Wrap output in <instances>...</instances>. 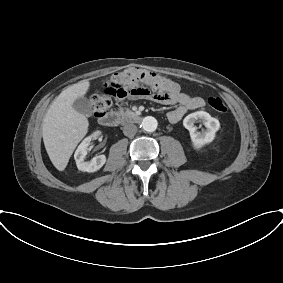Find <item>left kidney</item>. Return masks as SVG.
I'll return each instance as SVG.
<instances>
[{"instance_id":"obj_1","label":"left kidney","mask_w":283,"mask_h":283,"mask_svg":"<svg viewBox=\"0 0 283 283\" xmlns=\"http://www.w3.org/2000/svg\"><path fill=\"white\" fill-rule=\"evenodd\" d=\"M200 120L206 127L205 131L198 132L194 123ZM184 127L190 132L192 144L195 148H201L205 144L211 143L220 128L218 119L204 111H197L187 115L183 120Z\"/></svg>"}]
</instances>
